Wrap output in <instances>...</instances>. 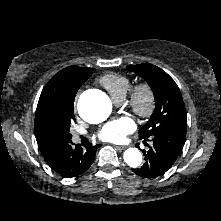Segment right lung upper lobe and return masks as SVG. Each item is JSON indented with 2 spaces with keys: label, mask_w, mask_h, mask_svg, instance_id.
I'll return each instance as SVG.
<instances>
[{
  "label": "right lung upper lobe",
  "mask_w": 221,
  "mask_h": 221,
  "mask_svg": "<svg viewBox=\"0 0 221 221\" xmlns=\"http://www.w3.org/2000/svg\"><path fill=\"white\" fill-rule=\"evenodd\" d=\"M93 70V68L76 66L66 67L59 71L43 88L34 123L35 136L41 153L60 142L44 126L43 115L63 107L74 110L75 95L80 86L92 75Z\"/></svg>",
  "instance_id": "cb5924a9"
}]
</instances>
